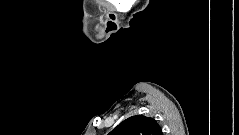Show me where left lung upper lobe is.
Here are the masks:
<instances>
[{
    "mask_svg": "<svg viewBox=\"0 0 239 135\" xmlns=\"http://www.w3.org/2000/svg\"><path fill=\"white\" fill-rule=\"evenodd\" d=\"M109 135H162V130L153 118L136 115L122 121Z\"/></svg>",
    "mask_w": 239,
    "mask_h": 135,
    "instance_id": "1",
    "label": "left lung upper lobe"
}]
</instances>
